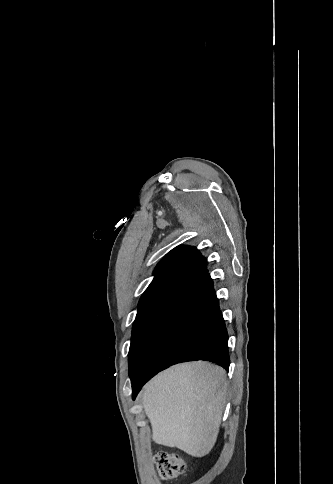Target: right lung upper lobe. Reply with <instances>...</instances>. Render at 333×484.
I'll return each mask as SVG.
<instances>
[{
    "instance_id": "cb5924a9",
    "label": "right lung upper lobe",
    "mask_w": 333,
    "mask_h": 484,
    "mask_svg": "<svg viewBox=\"0 0 333 484\" xmlns=\"http://www.w3.org/2000/svg\"><path fill=\"white\" fill-rule=\"evenodd\" d=\"M206 259L192 246H178L156 266L154 279L141 296L138 307L161 301L207 273Z\"/></svg>"
}]
</instances>
